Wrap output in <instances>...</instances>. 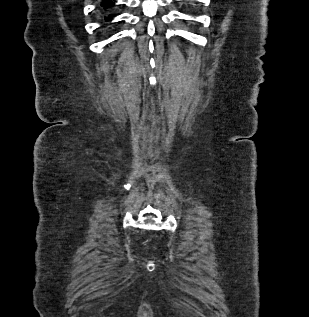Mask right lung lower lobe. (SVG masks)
I'll return each mask as SVG.
<instances>
[{
    "label": "right lung lower lobe",
    "mask_w": 309,
    "mask_h": 317,
    "mask_svg": "<svg viewBox=\"0 0 309 317\" xmlns=\"http://www.w3.org/2000/svg\"><path fill=\"white\" fill-rule=\"evenodd\" d=\"M114 5V1L113 0H103L101 2V10L103 11H107L108 9H110L111 7H113ZM113 18V16L108 15L104 17V21L109 22L111 19Z\"/></svg>",
    "instance_id": "98d812e1"
}]
</instances>
